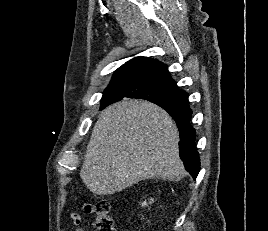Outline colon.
<instances>
[{
  "instance_id": "5ec220e1",
  "label": "colon",
  "mask_w": 268,
  "mask_h": 231,
  "mask_svg": "<svg viewBox=\"0 0 268 231\" xmlns=\"http://www.w3.org/2000/svg\"><path fill=\"white\" fill-rule=\"evenodd\" d=\"M96 231H116L114 221L110 214L109 202L98 199L93 208Z\"/></svg>"
}]
</instances>
